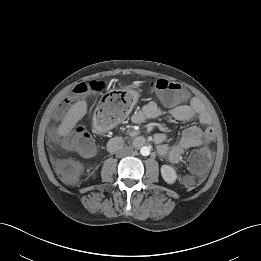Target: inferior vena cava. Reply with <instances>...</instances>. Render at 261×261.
Listing matches in <instances>:
<instances>
[{"instance_id": "obj_1", "label": "inferior vena cava", "mask_w": 261, "mask_h": 261, "mask_svg": "<svg viewBox=\"0 0 261 261\" xmlns=\"http://www.w3.org/2000/svg\"><path fill=\"white\" fill-rule=\"evenodd\" d=\"M133 152V147L130 146H125L123 148L120 149V151L118 152L119 156H125V155H129Z\"/></svg>"}]
</instances>
